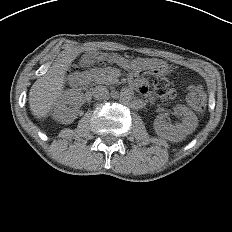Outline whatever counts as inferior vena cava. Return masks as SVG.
I'll list each match as a JSON object with an SVG mask.
<instances>
[{
  "mask_svg": "<svg viewBox=\"0 0 232 232\" xmlns=\"http://www.w3.org/2000/svg\"><path fill=\"white\" fill-rule=\"evenodd\" d=\"M92 94L95 99L105 100L109 98V91L105 86H96Z\"/></svg>",
  "mask_w": 232,
  "mask_h": 232,
  "instance_id": "obj_1",
  "label": "inferior vena cava"
}]
</instances>
